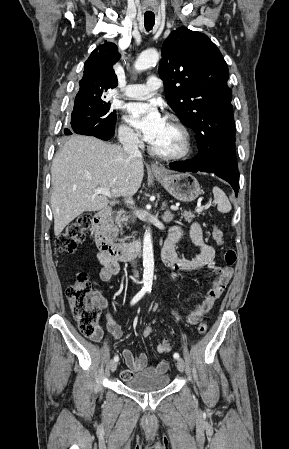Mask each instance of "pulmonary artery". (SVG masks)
I'll return each mask as SVG.
<instances>
[{
	"mask_svg": "<svg viewBox=\"0 0 289 449\" xmlns=\"http://www.w3.org/2000/svg\"><path fill=\"white\" fill-rule=\"evenodd\" d=\"M162 81L160 78L152 76L149 77L145 84H131L123 91L122 95L130 99H145L154 94L160 89Z\"/></svg>",
	"mask_w": 289,
	"mask_h": 449,
	"instance_id": "1",
	"label": "pulmonary artery"
}]
</instances>
